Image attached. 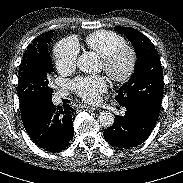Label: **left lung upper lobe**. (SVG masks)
Here are the masks:
<instances>
[{
    "label": "left lung upper lobe",
    "mask_w": 183,
    "mask_h": 183,
    "mask_svg": "<svg viewBox=\"0 0 183 183\" xmlns=\"http://www.w3.org/2000/svg\"><path fill=\"white\" fill-rule=\"evenodd\" d=\"M132 41L137 54L135 71L117 92L116 101L122 106H137L159 116L163 95V73L160 57L152 42L131 27H115Z\"/></svg>",
    "instance_id": "obj_1"
}]
</instances>
